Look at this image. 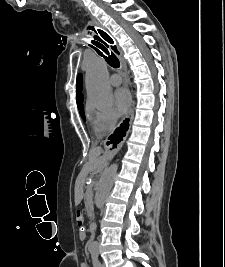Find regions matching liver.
Returning a JSON list of instances; mask_svg holds the SVG:
<instances>
[{
	"label": "liver",
	"instance_id": "liver-1",
	"mask_svg": "<svg viewBox=\"0 0 225 267\" xmlns=\"http://www.w3.org/2000/svg\"><path fill=\"white\" fill-rule=\"evenodd\" d=\"M101 153H103L100 147L92 148L89 153V162L85 164L83 167L80 177H85L89 171L96 169L104 163V158L100 157ZM83 197V189L82 185H77L75 188V204L78 205Z\"/></svg>",
	"mask_w": 225,
	"mask_h": 267
}]
</instances>
